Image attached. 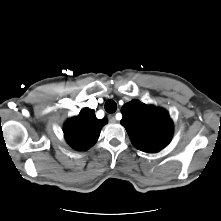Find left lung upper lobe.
<instances>
[{"mask_svg": "<svg viewBox=\"0 0 221 221\" xmlns=\"http://www.w3.org/2000/svg\"><path fill=\"white\" fill-rule=\"evenodd\" d=\"M121 113V124L138 150L156 153L170 142L173 123L164 109L132 100L123 105Z\"/></svg>", "mask_w": 221, "mask_h": 221, "instance_id": "left-lung-upper-lobe-1", "label": "left lung upper lobe"}]
</instances>
